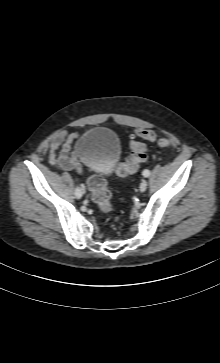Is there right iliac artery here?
Here are the masks:
<instances>
[{
    "instance_id": "obj_1",
    "label": "right iliac artery",
    "mask_w": 220,
    "mask_h": 363,
    "mask_svg": "<svg viewBox=\"0 0 220 363\" xmlns=\"http://www.w3.org/2000/svg\"><path fill=\"white\" fill-rule=\"evenodd\" d=\"M75 196H76V198H80L82 196L81 187H76V189H75Z\"/></svg>"
}]
</instances>
